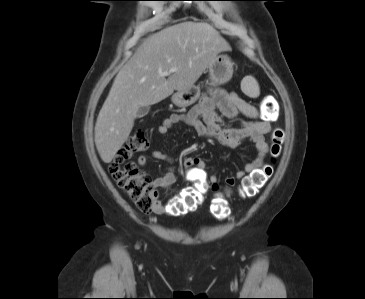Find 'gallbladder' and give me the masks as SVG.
I'll use <instances>...</instances> for the list:
<instances>
[{
	"label": "gallbladder",
	"instance_id": "gallbladder-1",
	"mask_svg": "<svg viewBox=\"0 0 365 299\" xmlns=\"http://www.w3.org/2000/svg\"><path fill=\"white\" fill-rule=\"evenodd\" d=\"M150 110L149 106H142L137 110L136 118H142L148 114Z\"/></svg>",
	"mask_w": 365,
	"mask_h": 299
}]
</instances>
